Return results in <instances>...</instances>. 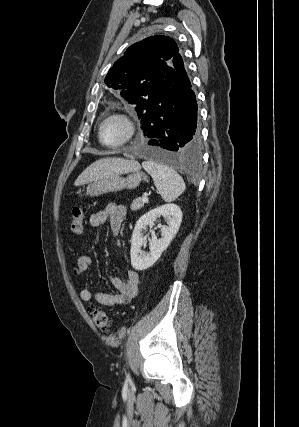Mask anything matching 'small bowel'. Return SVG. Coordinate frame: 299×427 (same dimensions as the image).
I'll list each match as a JSON object with an SVG mask.
<instances>
[{
  "label": "small bowel",
  "instance_id": "small-bowel-1",
  "mask_svg": "<svg viewBox=\"0 0 299 427\" xmlns=\"http://www.w3.org/2000/svg\"><path fill=\"white\" fill-rule=\"evenodd\" d=\"M125 216L126 208L124 206L109 203L103 210L93 213L89 222L91 226L99 227L109 221L111 232L116 235L121 229ZM91 263L92 260L89 256H80L74 268V274L76 276L83 275L89 271ZM139 280V274L135 270L129 269L123 279L116 276L110 278L112 286L116 289L115 293L92 292L89 285L86 284L79 293L80 299L89 303L94 298L98 303L108 307L125 305L136 297Z\"/></svg>",
  "mask_w": 299,
  "mask_h": 427
}]
</instances>
